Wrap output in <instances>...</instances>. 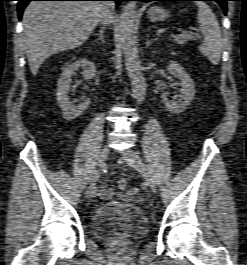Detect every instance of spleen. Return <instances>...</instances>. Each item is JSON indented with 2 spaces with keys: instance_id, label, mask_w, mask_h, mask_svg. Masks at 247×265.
Segmentation results:
<instances>
[{
  "instance_id": "obj_1",
  "label": "spleen",
  "mask_w": 247,
  "mask_h": 265,
  "mask_svg": "<svg viewBox=\"0 0 247 265\" xmlns=\"http://www.w3.org/2000/svg\"><path fill=\"white\" fill-rule=\"evenodd\" d=\"M198 7L197 20L204 36L199 50L211 63L217 65L220 61L222 50V36L218 20L211 8L203 1L196 2Z\"/></svg>"
}]
</instances>
